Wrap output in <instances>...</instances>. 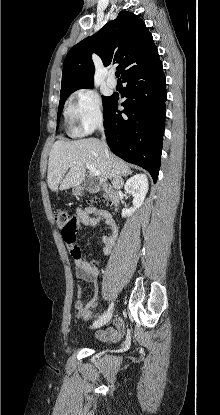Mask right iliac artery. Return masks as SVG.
Listing matches in <instances>:
<instances>
[{
    "label": "right iliac artery",
    "mask_w": 220,
    "mask_h": 415,
    "mask_svg": "<svg viewBox=\"0 0 220 415\" xmlns=\"http://www.w3.org/2000/svg\"><path fill=\"white\" fill-rule=\"evenodd\" d=\"M113 307H114V304H113V302H112V303L109 305L108 310H107L106 312H104V313H103V315L99 316V318H101L102 316H105V315H106V313L110 312V311L113 309Z\"/></svg>",
    "instance_id": "82829eb1"
}]
</instances>
